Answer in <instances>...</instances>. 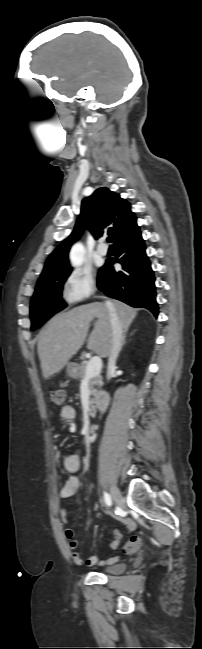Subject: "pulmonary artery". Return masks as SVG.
I'll return each instance as SVG.
<instances>
[{
    "label": "pulmonary artery",
    "mask_w": 202,
    "mask_h": 649,
    "mask_svg": "<svg viewBox=\"0 0 202 649\" xmlns=\"http://www.w3.org/2000/svg\"><path fill=\"white\" fill-rule=\"evenodd\" d=\"M97 251L100 255H106L108 253V248L103 242H101L97 247Z\"/></svg>",
    "instance_id": "obj_1"
}]
</instances>
